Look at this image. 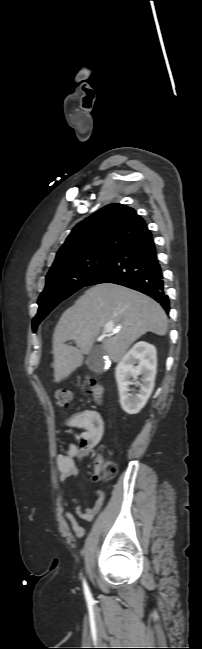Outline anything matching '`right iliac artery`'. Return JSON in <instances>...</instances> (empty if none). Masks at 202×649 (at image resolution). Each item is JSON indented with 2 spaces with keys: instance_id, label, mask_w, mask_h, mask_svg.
<instances>
[{
  "instance_id": "82829eb1",
  "label": "right iliac artery",
  "mask_w": 202,
  "mask_h": 649,
  "mask_svg": "<svg viewBox=\"0 0 202 649\" xmlns=\"http://www.w3.org/2000/svg\"><path fill=\"white\" fill-rule=\"evenodd\" d=\"M83 586H84V593H85L86 597H87V598H90V597H91V595H90V591H89V588H88V586H87L85 580L83 581Z\"/></svg>"
}]
</instances>
